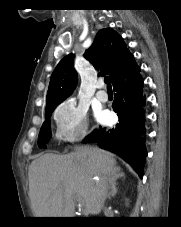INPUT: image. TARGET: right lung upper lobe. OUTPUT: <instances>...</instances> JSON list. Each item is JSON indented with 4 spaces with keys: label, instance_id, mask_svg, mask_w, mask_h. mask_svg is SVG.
Returning <instances> with one entry per match:
<instances>
[{
    "label": "right lung upper lobe",
    "instance_id": "1",
    "mask_svg": "<svg viewBox=\"0 0 181 227\" xmlns=\"http://www.w3.org/2000/svg\"><path fill=\"white\" fill-rule=\"evenodd\" d=\"M131 55L122 37L110 28L98 31L91 47L84 57L96 69L111 78V82L121 71L125 59ZM73 54L64 57L52 73L47 92L46 107L58 105L76 87L77 73L73 68Z\"/></svg>",
    "mask_w": 181,
    "mask_h": 227
}]
</instances>
